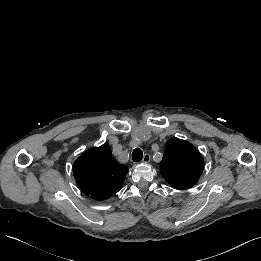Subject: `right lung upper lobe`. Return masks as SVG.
Returning <instances> with one entry per match:
<instances>
[{
    "label": "right lung upper lobe",
    "instance_id": "cb5924a9",
    "mask_svg": "<svg viewBox=\"0 0 261 261\" xmlns=\"http://www.w3.org/2000/svg\"><path fill=\"white\" fill-rule=\"evenodd\" d=\"M128 168L111 155L109 145L91 148L74 163V177L79 188L95 200H105L116 194Z\"/></svg>",
    "mask_w": 261,
    "mask_h": 261
}]
</instances>
